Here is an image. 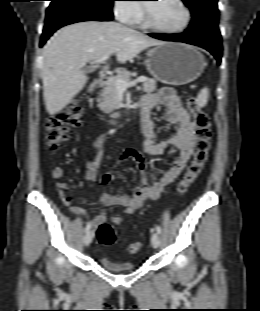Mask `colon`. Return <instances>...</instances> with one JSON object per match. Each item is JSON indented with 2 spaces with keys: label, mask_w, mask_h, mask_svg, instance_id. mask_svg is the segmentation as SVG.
<instances>
[{
  "label": "colon",
  "mask_w": 260,
  "mask_h": 311,
  "mask_svg": "<svg viewBox=\"0 0 260 311\" xmlns=\"http://www.w3.org/2000/svg\"><path fill=\"white\" fill-rule=\"evenodd\" d=\"M187 108L193 117L196 128V141L191 164L184 177L177 185V193L179 195L185 194L191 184L202 172L208 160L212 136L210 117L206 112L200 109L196 97H188ZM82 113V108L78 104L73 103L59 116L51 118L46 122L45 138L49 152H57L60 144L69 140L74 135V130L82 123ZM95 235L98 242L102 245H112L116 240V233L113 227L106 222L100 223L96 227ZM140 248L141 244L135 242L131 243L127 250L130 254H135Z\"/></svg>",
  "instance_id": "1"
}]
</instances>
